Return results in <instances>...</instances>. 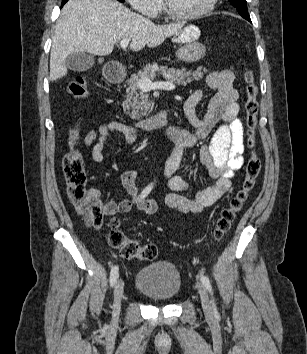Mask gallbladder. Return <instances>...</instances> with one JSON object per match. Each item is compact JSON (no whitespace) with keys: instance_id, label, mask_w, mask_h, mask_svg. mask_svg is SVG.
<instances>
[{"instance_id":"obj_1","label":"gallbladder","mask_w":307,"mask_h":354,"mask_svg":"<svg viewBox=\"0 0 307 354\" xmlns=\"http://www.w3.org/2000/svg\"><path fill=\"white\" fill-rule=\"evenodd\" d=\"M66 66L77 72L87 71L91 69L95 60L94 57L86 53H71L65 60Z\"/></svg>"}]
</instances>
